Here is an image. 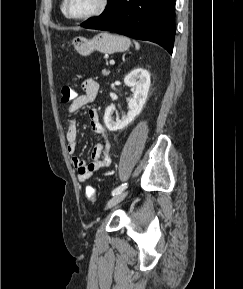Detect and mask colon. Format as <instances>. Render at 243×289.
<instances>
[{
    "instance_id": "1",
    "label": "colon",
    "mask_w": 243,
    "mask_h": 289,
    "mask_svg": "<svg viewBox=\"0 0 243 289\" xmlns=\"http://www.w3.org/2000/svg\"><path fill=\"white\" fill-rule=\"evenodd\" d=\"M75 97V92L70 86H63L61 89V101L63 103H69ZM85 196L89 201H94L96 197L95 189L92 186H87L85 190Z\"/></svg>"
}]
</instances>
